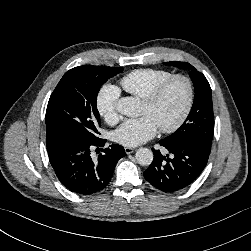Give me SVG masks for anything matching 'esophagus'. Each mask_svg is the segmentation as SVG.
I'll return each mask as SVG.
<instances>
[{
    "instance_id": "esophagus-1",
    "label": "esophagus",
    "mask_w": 251,
    "mask_h": 251,
    "mask_svg": "<svg viewBox=\"0 0 251 251\" xmlns=\"http://www.w3.org/2000/svg\"><path fill=\"white\" fill-rule=\"evenodd\" d=\"M135 151H136L135 148H131V147H126V148H125L126 154H131V153H133V152H135Z\"/></svg>"
}]
</instances>
